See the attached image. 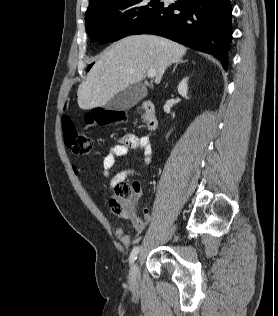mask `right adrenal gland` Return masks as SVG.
<instances>
[{
  "label": "right adrenal gland",
  "mask_w": 278,
  "mask_h": 316,
  "mask_svg": "<svg viewBox=\"0 0 278 316\" xmlns=\"http://www.w3.org/2000/svg\"><path fill=\"white\" fill-rule=\"evenodd\" d=\"M186 62H188V60H180L179 62H177V63L175 64L174 68H173L172 73L175 72V69L177 68L178 64H180V63H186Z\"/></svg>",
  "instance_id": "right-adrenal-gland-1"
}]
</instances>
